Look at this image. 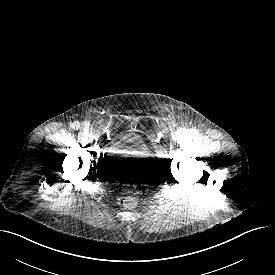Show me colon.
<instances>
[{
	"label": "colon",
	"instance_id": "colon-1",
	"mask_svg": "<svg viewBox=\"0 0 275 275\" xmlns=\"http://www.w3.org/2000/svg\"><path fill=\"white\" fill-rule=\"evenodd\" d=\"M139 193L140 188L137 183L132 182L124 184L120 192V203L126 208L133 207L137 202Z\"/></svg>",
	"mask_w": 275,
	"mask_h": 275
}]
</instances>
